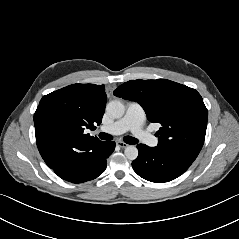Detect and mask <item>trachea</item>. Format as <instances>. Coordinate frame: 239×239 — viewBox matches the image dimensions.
I'll return each mask as SVG.
<instances>
[{"mask_svg":"<svg viewBox=\"0 0 239 239\" xmlns=\"http://www.w3.org/2000/svg\"><path fill=\"white\" fill-rule=\"evenodd\" d=\"M99 138H100L101 140H107V141H109V140H112L113 137H112L110 134L101 132V133L99 134ZM124 141H125L127 144H131V145H134V144H137V143H138V140L135 139L134 137H131V136H126V137L124 138Z\"/></svg>","mask_w":239,"mask_h":239,"instance_id":"obj_1","label":"trachea"}]
</instances>
